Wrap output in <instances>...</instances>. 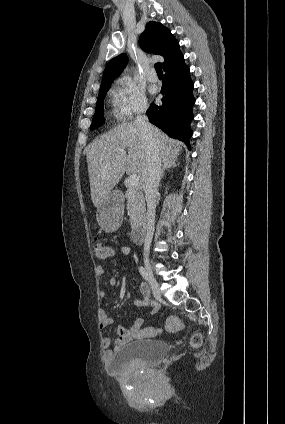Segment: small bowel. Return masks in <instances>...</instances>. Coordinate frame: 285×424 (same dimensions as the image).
<instances>
[{
    "mask_svg": "<svg viewBox=\"0 0 285 424\" xmlns=\"http://www.w3.org/2000/svg\"><path fill=\"white\" fill-rule=\"evenodd\" d=\"M122 254H130L131 250L130 248L123 246L121 248ZM96 273L98 275H104L106 273V270L103 266H97ZM117 281L114 277H111L109 279L110 286L114 287L116 285ZM140 292L142 294V297L139 299H136L134 301L135 306L137 307H148L151 306L153 308H156V304L152 301L150 297V291L148 286L145 283H142L140 286ZM100 295L102 297H107V292L105 290L100 291ZM113 323V319L106 313L105 311L101 313L100 315V322L99 327L100 329H105L109 326H111ZM142 326H143V319L137 318L132 326L129 329L126 328H119L118 329V338L115 340L114 347L112 350H106L105 352V359L110 360L112 359L113 352L119 349L120 347L124 346L125 344L136 340L141 339V333H142ZM111 344V340L109 338H104L103 340V346L105 348H108Z\"/></svg>",
    "mask_w": 285,
    "mask_h": 424,
    "instance_id": "small-bowel-1",
    "label": "small bowel"
}]
</instances>
